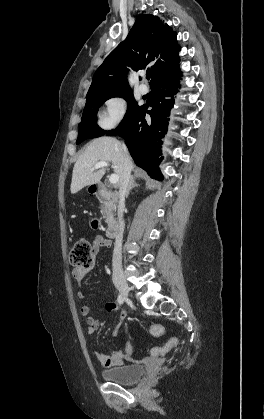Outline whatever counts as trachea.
I'll list each match as a JSON object with an SVG mask.
<instances>
[{
    "mask_svg": "<svg viewBox=\"0 0 264 419\" xmlns=\"http://www.w3.org/2000/svg\"><path fill=\"white\" fill-rule=\"evenodd\" d=\"M150 76H151V73H147L146 74V78L149 80L150 79Z\"/></svg>",
    "mask_w": 264,
    "mask_h": 419,
    "instance_id": "1",
    "label": "trachea"
}]
</instances>
